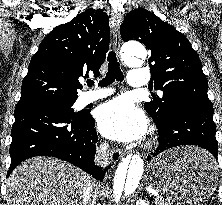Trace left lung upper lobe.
<instances>
[{"label": "left lung upper lobe", "mask_w": 222, "mask_h": 205, "mask_svg": "<svg viewBox=\"0 0 222 205\" xmlns=\"http://www.w3.org/2000/svg\"><path fill=\"white\" fill-rule=\"evenodd\" d=\"M120 31L123 41L137 40L151 51V82L163 95L153 94L144 109L156 125L168 120L171 112L180 105L198 104L213 108L199 56L182 33L143 8L129 12Z\"/></svg>", "instance_id": "5c2ea615"}]
</instances>
